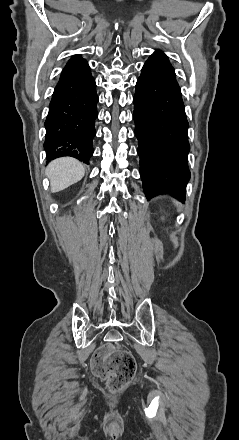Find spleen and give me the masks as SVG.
I'll return each instance as SVG.
<instances>
[{
  "instance_id": "spleen-1",
  "label": "spleen",
  "mask_w": 239,
  "mask_h": 440,
  "mask_svg": "<svg viewBox=\"0 0 239 440\" xmlns=\"http://www.w3.org/2000/svg\"><path fill=\"white\" fill-rule=\"evenodd\" d=\"M175 204H180V202H175Z\"/></svg>"
}]
</instances>
